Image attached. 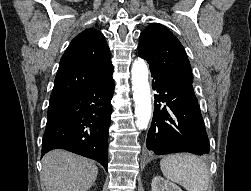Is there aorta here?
<instances>
[{
  "label": "aorta",
  "mask_w": 251,
  "mask_h": 191,
  "mask_svg": "<svg viewBox=\"0 0 251 191\" xmlns=\"http://www.w3.org/2000/svg\"><path fill=\"white\" fill-rule=\"evenodd\" d=\"M133 99L135 101V123L138 129H146L151 113V94L148 82V68L146 62L138 58L132 64L131 70Z\"/></svg>",
  "instance_id": "aorta-1"
}]
</instances>
